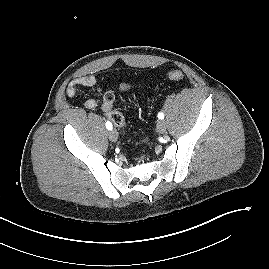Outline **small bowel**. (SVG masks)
Masks as SVG:
<instances>
[{"label":"small bowel","mask_w":269,"mask_h":269,"mask_svg":"<svg viewBox=\"0 0 269 269\" xmlns=\"http://www.w3.org/2000/svg\"><path fill=\"white\" fill-rule=\"evenodd\" d=\"M96 78L93 75H87V76H82L73 79L67 86L66 89V94L69 97H74L78 94L79 90L81 87H87V88H93L96 90L97 95L100 94V90L96 88ZM120 89L122 91H127L129 89V86L126 84H122ZM99 100L98 98H90L85 101L84 106L88 109H94L98 106ZM103 112L106 114V110L102 106Z\"/></svg>","instance_id":"1"}]
</instances>
